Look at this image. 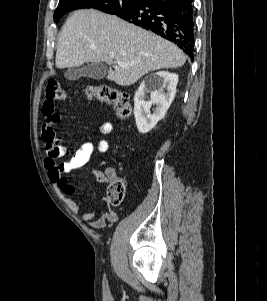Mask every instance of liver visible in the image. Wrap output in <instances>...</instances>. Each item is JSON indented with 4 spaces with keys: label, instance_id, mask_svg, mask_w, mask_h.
Wrapping results in <instances>:
<instances>
[{
    "label": "liver",
    "instance_id": "1",
    "mask_svg": "<svg viewBox=\"0 0 267 301\" xmlns=\"http://www.w3.org/2000/svg\"><path fill=\"white\" fill-rule=\"evenodd\" d=\"M110 53L115 57L111 58ZM118 61L129 66L121 67ZM101 62L110 66L108 80L129 86L148 72L183 66L186 56L170 41L115 15L93 9L75 11L62 28L56 67Z\"/></svg>",
    "mask_w": 267,
    "mask_h": 301
}]
</instances>
